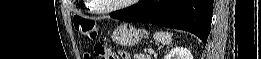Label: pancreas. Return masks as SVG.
Returning <instances> with one entry per match:
<instances>
[{
  "instance_id": "cf45deb5",
  "label": "pancreas",
  "mask_w": 261,
  "mask_h": 59,
  "mask_svg": "<svg viewBox=\"0 0 261 59\" xmlns=\"http://www.w3.org/2000/svg\"><path fill=\"white\" fill-rule=\"evenodd\" d=\"M134 59H151V57L150 55L139 53L134 55Z\"/></svg>"
}]
</instances>
